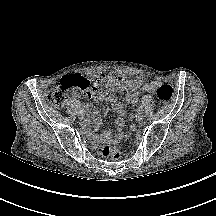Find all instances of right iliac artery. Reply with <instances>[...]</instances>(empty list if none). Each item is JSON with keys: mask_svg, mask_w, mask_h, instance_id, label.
<instances>
[{"mask_svg": "<svg viewBox=\"0 0 216 216\" xmlns=\"http://www.w3.org/2000/svg\"><path fill=\"white\" fill-rule=\"evenodd\" d=\"M79 114H84V109H79Z\"/></svg>", "mask_w": 216, "mask_h": 216, "instance_id": "right-iliac-artery-1", "label": "right iliac artery"}]
</instances>
